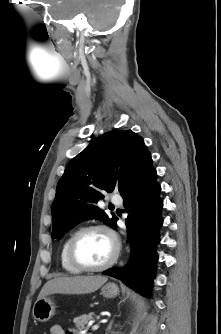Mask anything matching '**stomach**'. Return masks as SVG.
Instances as JSON below:
<instances>
[{
	"label": "stomach",
	"instance_id": "1",
	"mask_svg": "<svg viewBox=\"0 0 221 334\" xmlns=\"http://www.w3.org/2000/svg\"><path fill=\"white\" fill-rule=\"evenodd\" d=\"M119 289L115 283H107L101 289V294L105 298H114L118 295ZM55 314V305L49 297L38 299L32 310L34 319L40 322L48 321Z\"/></svg>",
	"mask_w": 221,
	"mask_h": 334
}]
</instances>
